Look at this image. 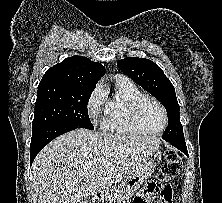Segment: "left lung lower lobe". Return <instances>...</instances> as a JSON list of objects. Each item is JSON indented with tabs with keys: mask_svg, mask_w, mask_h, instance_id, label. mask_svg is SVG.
<instances>
[{
	"mask_svg": "<svg viewBox=\"0 0 222 203\" xmlns=\"http://www.w3.org/2000/svg\"><path fill=\"white\" fill-rule=\"evenodd\" d=\"M169 143L172 144L177 149L181 150L183 153H185L188 156V151H187V147H186L185 141H179V142L171 141Z\"/></svg>",
	"mask_w": 222,
	"mask_h": 203,
	"instance_id": "left-lung-lower-lobe-1",
	"label": "left lung lower lobe"
}]
</instances>
